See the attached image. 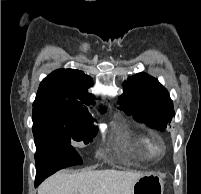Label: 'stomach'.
Here are the masks:
<instances>
[{"mask_svg": "<svg viewBox=\"0 0 201 194\" xmlns=\"http://www.w3.org/2000/svg\"><path fill=\"white\" fill-rule=\"evenodd\" d=\"M164 182L154 173H146L133 185L131 194H163Z\"/></svg>", "mask_w": 201, "mask_h": 194, "instance_id": "0dacf381", "label": "stomach"}]
</instances>
